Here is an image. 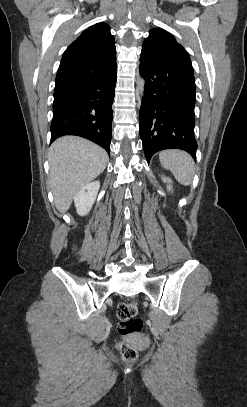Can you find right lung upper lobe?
<instances>
[{"label":"right lung upper lobe","instance_id":"obj_1","mask_svg":"<svg viewBox=\"0 0 247 407\" xmlns=\"http://www.w3.org/2000/svg\"><path fill=\"white\" fill-rule=\"evenodd\" d=\"M116 60V47L108 24L86 29L63 54L55 90L81 81L93 69Z\"/></svg>","mask_w":247,"mask_h":407}]
</instances>
